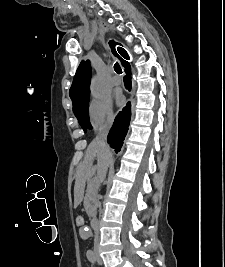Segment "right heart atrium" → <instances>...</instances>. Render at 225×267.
<instances>
[{
  "label": "right heart atrium",
  "instance_id": "d8ad5b80",
  "mask_svg": "<svg viewBox=\"0 0 225 267\" xmlns=\"http://www.w3.org/2000/svg\"><path fill=\"white\" fill-rule=\"evenodd\" d=\"M89 119L95 130L109 127L114 120L112 101L109 97H95L89 104Z\"/></svg>",
  "mask_w": 225,
  "mask_h": 267
}]
</instances>
